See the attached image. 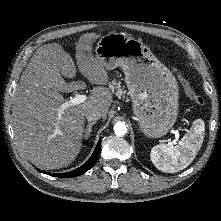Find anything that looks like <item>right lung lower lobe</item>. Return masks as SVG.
Returning <instances> with one entry per match:
<instances>
[{"label": "right lung lower lobe", "instance_id": "right-lung-lower-lobe-1", "mask_svg": "<svg viewBox=\"0 0 221 221\" xmlns=\"http://www.w3.org/2000/svg\"><path fill=\"white\" fill-rule=\"evenodd\" d=\"M100 147H101V139L99 140L92 156L88 159V161L83 164L82 166H80L79 168L70 171V172H66V173H47L51 176H55V177H65V178H71V177H76L79 176L83 173H85L86 171H88L89 169H91L94 165L95 162L98 159L99 153H100ZM43 173H46L44 171H42Z\"/></svg>", "mask_w": 221, "mask_h": 221}]
</instances>
